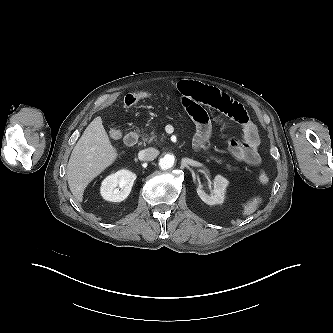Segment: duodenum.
I'll return each mask as SVG.
<instances>
[{"mask_svg":"<svg viewBox=\"0 0 333 333\" xmlns=\"http://www.w3.org/2000/svg\"><path fill=\"white\" fill-rule=\"evenodd\" d=\"M139 134L136 131H130L125 135L124 142L127 146H135L138 143Z\"/></svg>","mask_w":333,"mask_h":333,"instance_id":"obj_1","label":"duodenum"}]
</instances>
